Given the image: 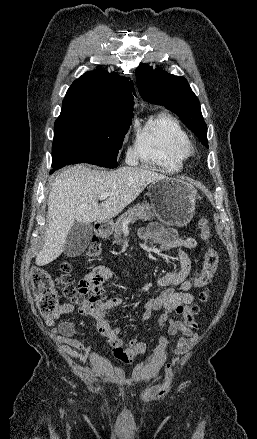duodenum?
<instances>
[{"label": "duodenum", "mask_w": 257, "mask_h": 439, "mask_svg": "<svg viewBox=\"0 0 257 439\" xmlns=\"http://www.w3.org/2000/svg\"><path fill=\"white\" fill-rule=\"evenodd\" d=\"M111 229L110 222L99 221L96 224V231L100 236L106 237L109 235Z\"/></svg>", "instance_id": "obj_1"}]
</instances>
